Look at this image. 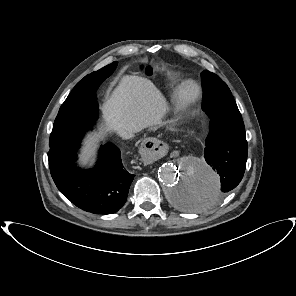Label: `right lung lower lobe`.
<instances>
[{"instance_id":"obj_1","label":"right lung lower lobe","mask_w":296,"mask_h":296,"mask_svg":"<svg viewBox=\"0 0 296 296\" xmlns=\"http://www.w3.org/2000/svg\"><path fill=\"white\" fill-rule=\"evenodd\" d=\"M80 139L54 146L48 152L52 178L74 205L94 214H112L126 202L134 175L123 168L120 150L102 145L95 168L81 170L74 164Z\"/></svg>"}]
</instances>
